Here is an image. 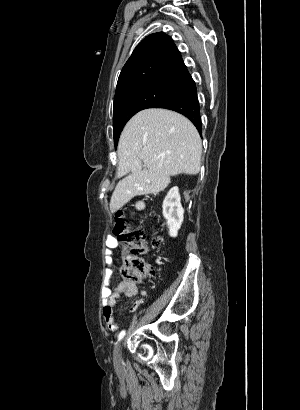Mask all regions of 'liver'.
Masks as SVG:
<instances>
[{
    "mask_svg": "<svg viewBox=\"0 0 300 410\" xmlns=\"http://www.w3.org/2000/svg\"><path fill=\"white\" fill-rule=\"evenodd\" d=\"M117 153L118 176L131 173L118 182L112 194V213L137 195L164 190L171 176L199 173L202 143L195 126L183 115L160 108L146 109L124 127Z\"/></svg>",
    "mask_w": 300,
    "mask_h": 410,
    "instance_id": "6515ba94",
    "label": "liver"
}]
</instances>
